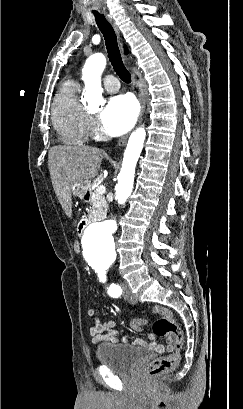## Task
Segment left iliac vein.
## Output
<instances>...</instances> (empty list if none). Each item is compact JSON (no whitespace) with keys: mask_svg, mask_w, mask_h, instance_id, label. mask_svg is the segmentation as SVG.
Instances as JSON below:
<instances>
[{"mask_svg":"<svg viewBox=\"0 0 243 409\" xmlns=\"http://www.w3.org/2000/svg\"><path fill=\"white\" fill-rule=\"evenodd\" d=\"M121 287H122V292H123V296H124L125 300H127L128 302H130L132 304H135L137 302V299L132 294L131 289H130L129 285L127 284V282H122Z\"/></svg>","mask_w":243,"mask_h":409,"instance_id":"obj_1","label":"left iliac vein"}]
</instances>
